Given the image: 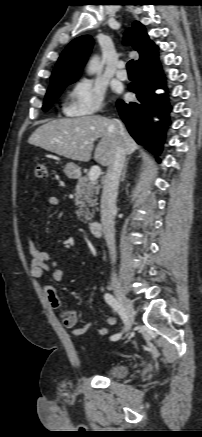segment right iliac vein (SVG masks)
I'll list each match as a JSON object with an SVG mask.
<instances>
[{"instance_id":"right-iliac-vein-1","label":"right iliac vein","mask_w":202,"mask_h":437,"mask_svg":"<svg viewBox=\"0 0 202 437\" xmlns=\"http://www.w3.org/2000/svg\"><path fill=\"white\" fill-rule=\"evenodd\" d=\"M114 292L126 311L127 320L125 323L124 331L127 332L128 330H130L134 322L135 310L133 308L132 302L125 296V294L123 293L122 289L119 286H114Z\"/></svg>"}]
</instances>
